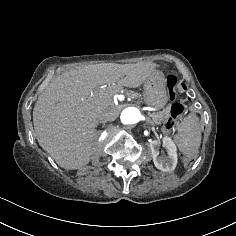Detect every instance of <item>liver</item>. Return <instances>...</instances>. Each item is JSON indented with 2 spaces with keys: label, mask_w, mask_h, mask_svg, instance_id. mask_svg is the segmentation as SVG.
<instances>
[{
  "label": "liver",
  "mask_w": 236,
  "mask_h": 236,
  "mask_svg": "<svg viewBox=\"0 0 236 236\" xmlns=\"http://www.w3.org/2000/svg\"><path fill=\"white\" fill-rule=\"evenodd\" d=\"M156 63H101L79 67L52 79L33 109L39 145L64 169L90 161L95 128L114 121L119 112L113 96L123 87L137 88ZM107 84L106 88H101Z\"/></svg>",
  "instance_id": "1"
}]
</instances>
